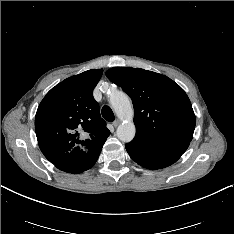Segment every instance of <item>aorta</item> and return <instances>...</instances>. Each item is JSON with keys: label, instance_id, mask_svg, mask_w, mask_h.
I'll return each mask as SVG.
<instances>
[{"label": "aorta", "instance_id": "obj_1", "mask_svg": "<svg viewBox=\"0 0 234 234\" xmlns=\"http://www.w3.org/2000/svg\"><path fill=\"white\" fill-rule=\"evenodd\" d=\"M110 103L122 123L117 128V137L122 142L133 140L136 128L133 123V106L130 98L122 91H113L110 95Z\"/></svg>", "mask_w": 234, "mask_h": 234}]
</instances>
